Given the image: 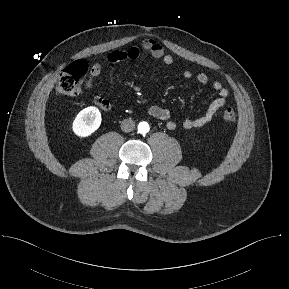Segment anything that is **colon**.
Returning a JSON list of instances; mask_svg holds the SVG:
<instances>
[{
	"label": "colon",
	"instance_id": "5ec220e1",
	"mask_svg": "<svg viewBox=\"0 0 289 289\" xmlns=\"http://www.w3.org/2000/svg\"><path fill=\"white\" fill-rule=\"evenodd\" d=\"M88 73L89 66L85 61L72 63L61 74L55 87L56 93L64 96L80 94L86 86ZM222 117L225 122L233 123L236 120V113L228 107L223 111Z\"/></svg>",
	"mask_w": 289,
	"mask_h": 289
}]
</instances>
